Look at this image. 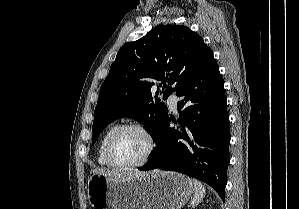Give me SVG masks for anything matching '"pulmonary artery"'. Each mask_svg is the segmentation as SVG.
I'll return each mask as SVG.
<instances>
[{"instance_id": "obj_1", "label": "pulmonary artery", "mask_w": 299, "mask_h": 209, "mask_svg": "<svg viewBox=\"0 0 299 209\" xmlns=\"http://www.w3.org/2000/svg\"><path fill=\"white\" fill-rule=\"evenodd\" d=\"M178 100L179 98L174 93H171L167 98V103L173 111L177 109Z\"/></svg>"}]
</instances>
